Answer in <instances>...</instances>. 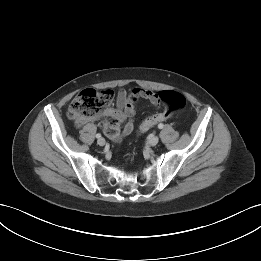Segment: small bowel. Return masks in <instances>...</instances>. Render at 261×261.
<instances>
[{"label": "small bowel", "mask_w": 261, "mask_h": 261, "mask_svg": "<svg viewBox=\"0 0 261 261\" xmlns=\"http://www.w3.org/2000/svg\"><path fill=\"white\" fill-rule=\"evenodd\" d=\"M140 99H146L154 105H158L160 102L159 94L150 90L134 88L129 93L125 90H120L117 93L116 107H110L105 110V116L111 117L122 124V127H119L121 135L126 136L132 133L136 114L135 104Z\"/></svg>", "instance_id": "small-bowel-1"}]
</instances>
